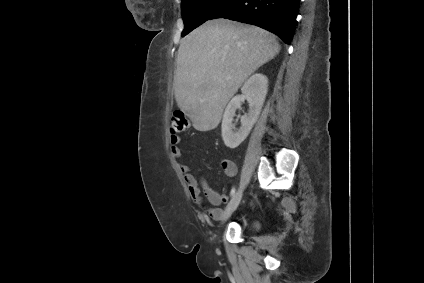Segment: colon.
Returning a JSON list of instances; mask_svg holds the SVG:
<instances>
[{"label":"colon","instance_id":"obj_1","mask_svg":"<svg viewBox=\"0 0 424 283\" xmlns=\"http://www.w3.org/2000/svg\"><path fill=\"white\" fill-rule=\"evenodd\" d=\"M188 121L183 111L176 110L171 115V131L181 133L186 130Z\"/></svg>","mask_w":424,"mask_h":283}]
</instances>
